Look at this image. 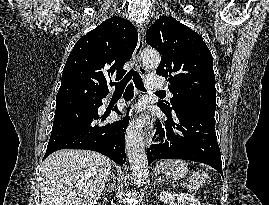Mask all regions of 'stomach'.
Segmentation results:
<instances>
[{"label": "stomach", "instance_id": "obj_1", "mask_svg": "<svg viewBox=\"0 0 269 205\" xmlns=\"http://www.w3.org/2000/svg\"><path fill=\"white\" fill-rule=\"evenodd\" d=\"M156 172L163 178L180 180L188 173L186 162L181 160H170L160 162L156 167Z\"/></svg>", "mask_w": 269, "mask_h": 205}]
</instances>
